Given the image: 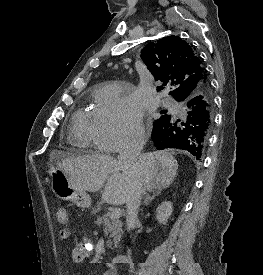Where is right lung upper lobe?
Segmentation results:
<instances>
[{"label":"right lung upper lobe","mask_w":263,"mask_h":275,"mask_svg":"<svg viewBox=\"0 0 263 275\" xmlns=\"http://www.w3.org/2000/svg\"><path fill=\"white\" fill-rule=\"evenodd\" d=\"M141 58L156 80L172 86L170 94L177 100L195 94L208 82L200 59L191 46L179 36L171 35L148 43ZM163 89L157 87V91ZM210 122L213 121V108Z\"/></svg>","instance_id":"cb5924a9"}]
</instances>
